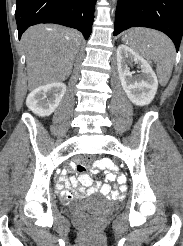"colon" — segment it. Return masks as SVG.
Returning <instances> with one entry per match:
<instances>
[{
    "label": "colon",
    "instance_id": "1",
    "mask_svg": "<svg viewBox=\"0 0 183 246\" xmlns=\"http://www.w3.org/2000/svg\"><path fill=\"white\" fill-rule=\"evenodd\" d=\"M82 162H93L95 160V155H81ZM84 224L89 228H94L96 225L95 214L88 212L82 218Z\"/></svg>",
    "mask_w": 183,
    "mask_h": 246
}]
</instances>
